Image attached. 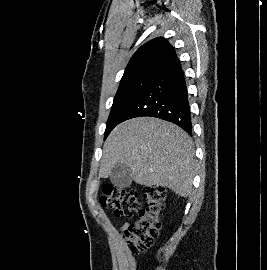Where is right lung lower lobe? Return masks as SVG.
<instances>
[{
    "instance_id": "98d812e1",
    "label": "right lung lower lobe",
    "mask_w": 267,
    "mask_h": 270,
    "mask_svg": "<svg viewBox=\"0 0 267 270\" xmlns=\"http://www.w3.org/2000/svg\"><path fill=\"white\" fill-rule=\"evenodd\" d=\"M150 116L172 122L192 135L186 82L176 58L160 70L149 87L127 113L125 120Z\"/></svg>"
}]
</instances>
